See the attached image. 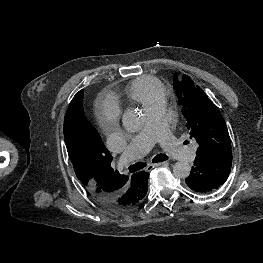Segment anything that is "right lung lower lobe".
I'll list each match as a JSON object with an SVG mask.
<instances>
[{"mask_svg": "<svg viewBox=\"0 0 263 263\" xmlns=\"http://www.w3.org/2000/svg\"><path fill=\"white\" fill-rule=\"evenodd\" d=\"M148 177L149 173L140 172L135 174L134 180L137 185L145 186L148 190ZM96 201L112 212H121L122 208L127 206V204L129 203L126 193H119L118 195L113 197H102Z\"/></svg>", "mask_w": 263, "mask_h": 263, "instance_id": "obj_1", "label": "right lung lower lobe"}]
</instances>
